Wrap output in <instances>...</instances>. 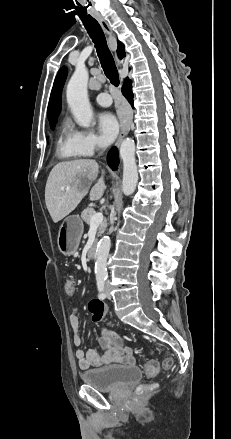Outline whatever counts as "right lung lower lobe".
Segmentation results:
<instances>
[{
  "mask_svg": "<svg viewBox=\"0 0 231 439\" xmlns=\"http://www.w3.org/2000/svg\"><path fill=\"white\" fill-rule=\"evenodd\" d=\"M131 80L125 79L122 86V93L133 107V93ZM107 162L110 168L117 170L119 164L118 151L116 147L111 148L107 154Z\"/></svg>",
  "mask_w": 231,
  "mask_h": 439,
  "instance_id": "98d812e1",
  "label": "right lung lower lobe"
}]
</instances>
